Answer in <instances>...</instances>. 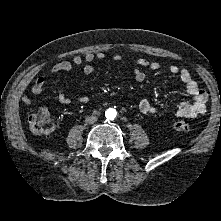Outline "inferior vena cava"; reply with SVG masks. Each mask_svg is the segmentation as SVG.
I'll return each mask as SVG.
<instances>
[{
  "mask_svg": "<svg viewBox=\"0 0 221 221\" xmlns=\"http://www.w3.org/2000/svg\"><path fill=\"white\" fill-rule=\"evenodd\" d=\"M97 121V117L96 116H87L85 118V122L88 124H93Z\"/></svg>",
  "mask_w": 221,
  "mask_h": 221,
  "instance_id": "1",
  "label": "inferior vena cava"
}]
</instances>
